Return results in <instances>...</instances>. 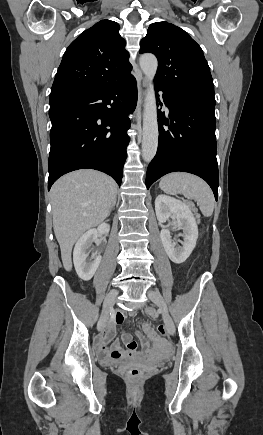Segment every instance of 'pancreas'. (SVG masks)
Wrapping results in <instances>:
<instances>
[{"mask_svg":"<svg viewBox=\"0 0 263 435\" xmlns=\"http://www.w3.org/2000/svg\"><path fill=\"white\" fill-rule=\"evenodd\" d=\"M189 205H190L191 209H192L195 213H197V209L195 208L194 204L190 203Z\"/></svg>","mask_w":263,"mask_h":435,"instance_id":"obj_1","label":"pancreas"}]
</instances>
